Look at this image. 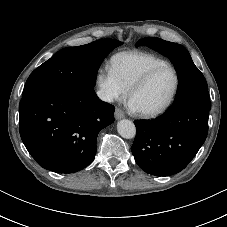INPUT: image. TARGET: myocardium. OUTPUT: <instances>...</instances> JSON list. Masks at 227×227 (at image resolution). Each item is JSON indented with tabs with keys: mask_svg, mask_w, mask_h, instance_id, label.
Masks as SVG:
<instances>
[{
	"mask_svg": "<svg viewBox=\"0 0 227 227\" xmlns=\"http://www.w3.org/2000/svg\"><path fill=\"white\" fill-rule=\"evenodd\" d=\"M165 68L171 69L175 75L174 89H173L170 97L168 98V100L159 108L154 109V110H149V111H141V110L136 109V112L144 118H153V117L159 116V115L163 114L165 111H167L170 108V106L173 104V102L177 96V93L179 91L180 82H181L178 70L170 63L156 66V67L150 69L149 71H147L144 75H142L136 82H134L132 84V86L128 90V99H129V102H131L133 95L138 90L143 88L155 74H157L159 71H161Z\"/></svg>",
	"mask_w": 227,
	"mask_h": 227,
	"instance_id": "1",
	"label": "myocardium"
}]
</instances>
